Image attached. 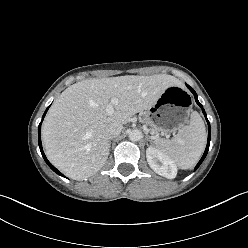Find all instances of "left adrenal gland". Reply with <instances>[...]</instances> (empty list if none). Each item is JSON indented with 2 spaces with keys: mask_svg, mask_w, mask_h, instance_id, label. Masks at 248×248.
<instances>
[{
  "mask_svg": "<svg viewBox=\"0 0 248 248\" xmlns=\"http://www.w3.org/2000/svg\"><path fill=\"white\" fill-rule=\"evenodd\" d=\"M146 138L152 144V139L148 135L146 136Z\"/></svg>",
  "mask_w": 248,
  "mask_h": 248,
  "instance_id": "left-adrenal-gland-1",
  "label": "left adrenal gland"
}]
</instances>
